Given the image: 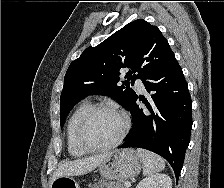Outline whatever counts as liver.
<instances>
[{
	"mask_svg": "<svg viewBox=\"0 0 224 188\" xmlns=\"http://www.w3.org/2000/svg\"><path fill=\"white\" fill-rule=\"evenodd\" d=\"M108 155L109 153H102L99 155L62 163L53 173L50 184L54 179L60 176H75L91 172L98 165H100L108 157Z\"/></svg>",
	"mask_w": 224,
	"mask_h": 188,
	"instance_id": "1",
	"label": "liver"
}]
</instances>
